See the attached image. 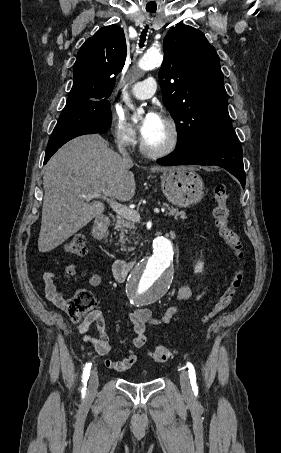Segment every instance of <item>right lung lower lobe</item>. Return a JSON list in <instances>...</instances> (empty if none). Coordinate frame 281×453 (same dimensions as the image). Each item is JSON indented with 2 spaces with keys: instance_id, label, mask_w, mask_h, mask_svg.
Returning a JSON list of instances; mask_svg holds the SVG:
<instances>
[{
  "instance_id": "98d812e1",
  "label": "right lung lower lobe",
  "mask_w": 281,
  "mask_h": 453,
  "mask_svg": "<svg viewBox=\"0 0 281 453\" xmlns=\"http://www.w3.org/2000/svg\"><path fill=\"white\" fill-rule=\"evenodd\" d=\"M111 125L110 103L66 105L48 142L44 164L66 142L84 134L104 133Z\"/></svg>"
}]
</instances>
